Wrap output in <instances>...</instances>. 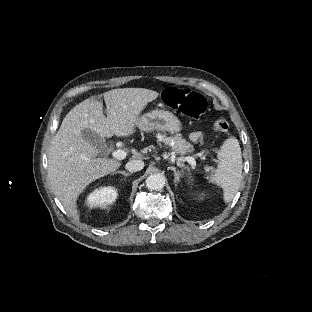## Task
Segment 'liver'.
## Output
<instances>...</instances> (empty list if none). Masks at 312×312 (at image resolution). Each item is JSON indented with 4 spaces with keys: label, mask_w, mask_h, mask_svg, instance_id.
<instances>
[{
    "label": "liver",
    "mask_w": 312,
    "mask_h": 312,
    "mask_svg": "<svg viewBox=\"0 0 312 312\" xmlns=\"http://www.w3.org/2000/svg\"><path fill=\"white\" fill-rule=\"evenodd\" d=\"M158 95L145 88L113 89L103 93L107 117L102 101L93 96L65 116L49 147L47 171L54 194L74 219H79V194L121 165L117 160L97 157L98 151L82 138L81 131L88 128L101 137L131 135L140 112Z\"/></svg>",
    "instance_id": "6515ba94"
}]
</instances>
